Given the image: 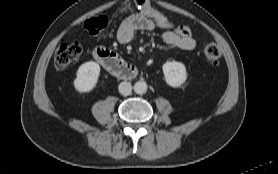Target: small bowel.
Segmentation results:
<instances>
[{
    "label": "small bowel",
    "mask_w": 278,
    "mask_h": 174,
    "mask_svg": "<svg viewBox=\"0 0 278 174\" xmlns=\"http://www.w3.org/2000/svg\"><path fill=\"white\" fill-rule=\"evenodd\" d=\"M156 27L158 26L153 19L145 13L133 14L119 26L117 38L120 43L127 44L132 41L138 31H151ZM161 37L167 45L183 51H191L196 47L193 37L182 38L169 30H164Z\"/></svg>",
    "instance_id": "obj_1"
}]
</instances>
